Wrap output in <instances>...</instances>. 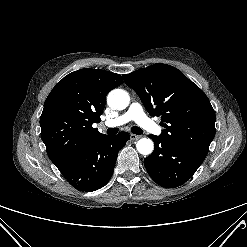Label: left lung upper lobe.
<instances>
[{
  "mask_svg": "<svg viewBox=\"0 0 247 247\" xmlns=\"http://www.w3.org/2000/svg\"><path fill=\"white\" fill-rule=\"evenodd\" d=\"M151 116H160V137L207 155L215 136V112L205 93L180 70L154 64L123 75Z\"/></svg>",
  "mask_w": 247,
  "mask_h": 247,
  "instance_id": "5c2ea615",
  "label": "left lung upper lobe"
}]
</instances>
